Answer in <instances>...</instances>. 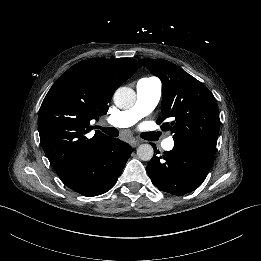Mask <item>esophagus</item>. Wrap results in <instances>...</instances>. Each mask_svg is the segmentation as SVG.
I'll return each mask as SVG.
<instances>
[{
    "label": "esophagus",
    "mask_w": 261,
    "mask_h": 261,
    "mask_svg": "<svg viewBox=\"0 0 261 261\" xmlns=\"http://www.w3.org/2000/svg\"><path fill=\"white\" fill-rule=\"evenodd\" d=\"M139 144H140V141H139V140H132V141L130 142V145H131L133 148L139 146Z\"/></svg>",
    "instance_id": "esophagus-1"
}]
</instances>
